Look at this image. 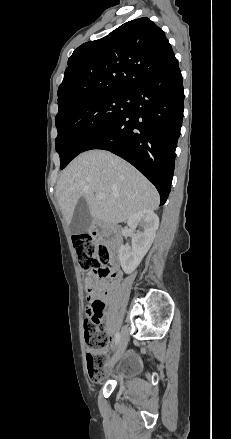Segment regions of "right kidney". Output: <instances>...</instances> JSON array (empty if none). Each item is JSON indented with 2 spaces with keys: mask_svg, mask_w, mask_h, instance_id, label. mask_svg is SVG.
Returning <instances> with one entry per match:
<instances>
[{
  "mask_svg": "<svg viewBox=\"0 0 231 439\" xmlns=\"http://www.w3.org/2000/svg\"><path fill=\"white\" fill-rule=\"evenodd\" d=\"M128 226L132 231L137 227H142L143 231L132 235V248L122 245L119 249V260L126 274L137 268L151 247L159 226V218L152 210H142L129 218Z\"/></svg>",
  "mask_w": 231,
  "mask_h": 439,
  "instance_id": "right-kidney-1",
  "label": "right kidney"
}]
</instances>
